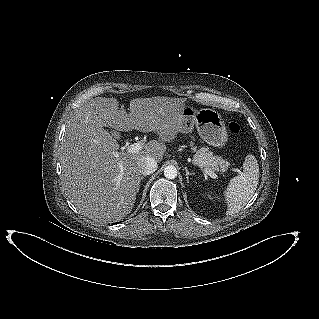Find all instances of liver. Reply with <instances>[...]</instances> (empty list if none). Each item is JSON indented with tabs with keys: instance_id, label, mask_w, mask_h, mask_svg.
Instances as JSON below:
<instances>
[{
	"instance_id": "liver-1",
	"label": "liver",
	"mask_w": 319,
	"mask_h": 319,
	"mask_svg": "<svg viewBox=\"0 0 319 319\" xmlns=\"http://www.w3.org/2000/svg\"><path fill=\"white\" fill-rule=\"evenodd\" d=\"M181 98L152 97L130 101V114L119 109L116 98L86 101L70 119L60 147L62 181L67 196L86 217L97 222H116L133 209L141 181L139 162L150 156L161 161L164 142L180 132ZM119 131L155 132L138 153H119L118 142L104 127ZM123 165V176L119 165Z\"/></svg>"
}]
</instances>
